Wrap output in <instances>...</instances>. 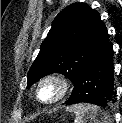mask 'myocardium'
<instances>
[{"label": "myocardium", "instance_id": "myocardium-1", "mask_svg": "<svg viewBox=\"0 0 122 123\" xmlns=\"http://www.w3.org/2000/svg\"><path fill=\"white\" fill-rule=\"evenodd\" d=\"M48 82L56 83L59 88V91L58 94L53 99L43 100L40 96V91L42 86ZM70 89H71V81L66 75L59 74V73H52L46 75L40 80L36 88V97L39 102L45 105H53L62 101L68 95Z\"/></svg>", "mask_w": 122, "mask_h": 123}]
</instances>
